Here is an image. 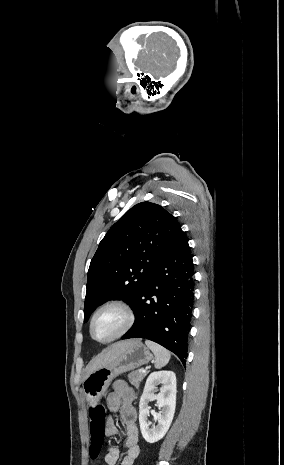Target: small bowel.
I'll return each mask as SVG.
<instances>
[{"label":"small bowel","instance_id":"obj_1","mask_svg":"<svg viewBox=\"0 0 284 465\" xmlns=\"http://www.w3.org/2000/svg\"><path fill=\"white\" fill-rule=\"evenodd\" d=\"M135 391L123 380H117L112 385V391L107 396V405L111 413H119L124 424L126 439L122 444L125 453L121 459V465H133L140 454V435L137 427L138 413L133 404ZM108 437H116L119 428L113 417H109L105 428ZM120 458V449L116 446H108L105 462L107 465H117Z\"/></svg>","mask_w":284,"mask_h":465}]
</instances>
